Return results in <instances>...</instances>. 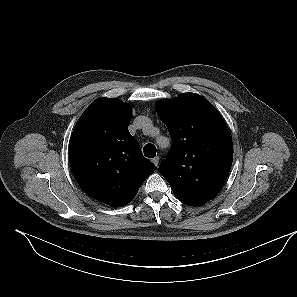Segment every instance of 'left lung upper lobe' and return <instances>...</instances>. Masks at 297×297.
Instances as JSON below:
<instances>
[{
  "instance_id": "1",
  "label": "left lung upper lobe",
  "mask_w": 297,
  "mask_h": 297,
  "mask_svg": "<svg viewBox=\"0 0 297 297\" xmlns=\"http://www.w3.org/2000/svg\"><path fill=\"white\" fill-rule=\"evenodd\" d=\"M172 146L159 166L175 196L190 206L202 205L222 189L233 160V144L220 113L205 98L184 93L157 102Z\"/></svg>"
}]
</instances>
